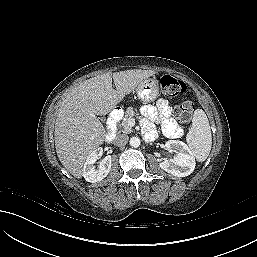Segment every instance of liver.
Segmentation results:
<instances>
[{"instance_id":"1","label":"liver","mask_w":257,"mask_h":257,"mask_svg":"<svg viewBox=\"0 0 257 257\" xmlns=\"http://www.w3.org/2000/svg\"><path fill=\"white\" fill-rule=\"evenodd\" d=\"M155 73L140 69L108 72L85 80L67 93L58 109L54 136L57 156L69 173L80 178L88 155L105 141L106 130L97 115L108 114Z\"/></svg>"}]
</instances>
